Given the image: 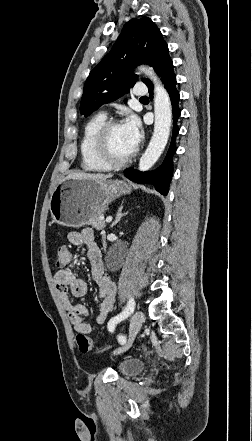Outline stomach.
<instances>
[{
    "mask_svg": "<svg viewBox=\"0 0 252 441\" xmlns=\"http://www.w3.org/2000/svg\"><path fill=\"white\" fill-rule=\"evenodd\" d=\"M130 192L131 187L122 180L66 179L51 194L52 221L66 227L83 226L113 200Z\"/></svg>",
    "mask_w": 252,
    "mask_h": 441,
    "instance_id": "obj_1",
    "label": "stomach"
}]
</instances>
